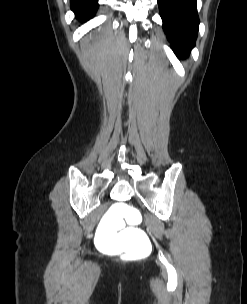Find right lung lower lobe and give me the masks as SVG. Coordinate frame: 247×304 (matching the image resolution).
<instances>
[{
	"mask_svg": "<svg viewBox=\"0 0 247 304\" xmlns=\"http://www.w3.org/2000/svg\"><path fill=\"white\" fill-rule=\"evenodd\" d=\"M98 0H71V9L80 20H88L93 17L97 8Z\"/></svg>",
	"mask_w": 247,
	"mask_h": 304,
	"instance_id": "98d812e1",
	"label": "right lung lower lobe"
}]
</instances>
